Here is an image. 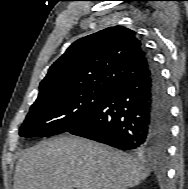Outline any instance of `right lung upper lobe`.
<instances>
[{
    "mask_svg": "<svg viewBox=\"0 0 188 189\" xmlns=\"http://www.w3.org/2000/svg\"><path fill=\"white\" fill-rule=\"evenodd\" d=\"M148 71L147 52L135 32L109 27L70 45L41 81L39 96L91 88L114 90Z\"/></svg>",
    "mask_w": 188,
    "mask_h": 189,
    "instance_id": "1",
    "label": "right lung upper lobe"
}]
</instances>
